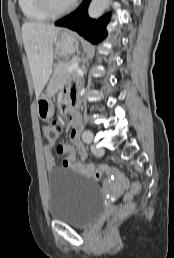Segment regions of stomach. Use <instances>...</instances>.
Here are the masks:
<instances>
[{"mask_svg": "<svg viewBox=\"0 0 174 258\" xmlns=\"http://www.w3.org/2000/svg\"><path fill=\"white\" fill-rule=\"evenodd\" d=\"M55 45L56 55L59 57H67L75 53L78 42L72 32L65 30L60 33ZM51 97V86H48L36 100L38 116L42 120H48L54 114V105Z\"/></svg>", "mask_w": 174, "mask_h": 258, "instance_id": "0dacf381", "label": "stomach"}]
</instances>
